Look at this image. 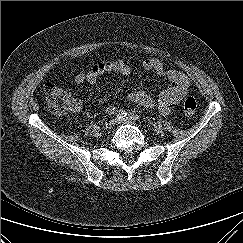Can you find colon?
Segmentation results:
<instances>
[{
	"mask_svg": "<svg viewBox=\"0 0 243 243\" xmlns=\"http://www.w3.org/2000/svg\"><path fill=\"white\" fill-rule=\"evenodd\" d=\"M46 100L51 112L62 116L72 110L74 99L71 93L55 84L48 83L44 88ZM183 111L186 115H193L197 109V101L189 96L183 101Z\"/></svg>",
	"mask_w": 243,
	"mask_h": 243,
	"instance_id": "obj_1",
	"label": "colon"
}]
</instances>
